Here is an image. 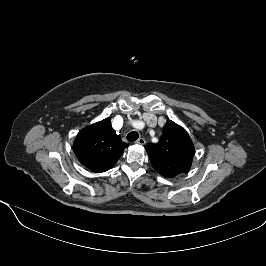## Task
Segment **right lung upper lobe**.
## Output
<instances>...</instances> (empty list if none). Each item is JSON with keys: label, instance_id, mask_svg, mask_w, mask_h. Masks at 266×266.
<instances>
[{"label": "right lung upper lobe", "instance_id": "obj_1", "mask_svg": "<svg viewBox=\"0 0 266 266\" xmlns=\"http://www.w3.org/2000/svg\"><path fill=\"white\" fill-rule=\"evenodd\" d=\"M108 117L79 131L73 150L80 163L94 173L112 168L128 147L116 134Z\"/></svg>", "mask_w": 266, "mask_h": 266}]
</instances>
